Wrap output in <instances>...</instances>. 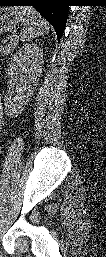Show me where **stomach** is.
Listing matches in <instances>:
<instances>
[{
	"label": "stomach",
	"mask_w": 106,
	"mask_h": 257,
	"mask_svg": "<svg viewBox=\"0 0 106 257\" xmlns=\"http://www.w3.org/2000/svg\"><path fill=\"white\" fill-rule=\"evenodd\" d=\"M20 21L18 10L14 7H1L0 9V32L11 31Z\"/></svg>",
	"instance_id": "0dacf381"
}]
</instances>
